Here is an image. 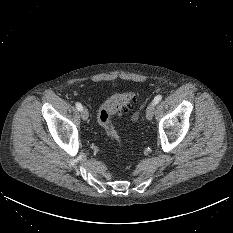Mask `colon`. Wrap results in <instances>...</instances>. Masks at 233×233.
Segmentation results:
<instances>
[{
    "label": "colon",
    "instance_id": "obj_1",
    "mask_svg": "<svg viewBox=\"0 0 233 233\" xmlns=\"http://www.w3.org/2000/svg\"><path fill=\"white\" fill-rule=\"evenodd\" d=\"M135 102V96L132 93H118L105 101L98 110L97 120L104 129L107 136L122 145V136L117 131L112 117L124 110H130ZM138 113L132 115L134 121L138 120Z\"/></svg>",
    "mask_w": 233,
    "mask_h": 233
}]
</instances>
